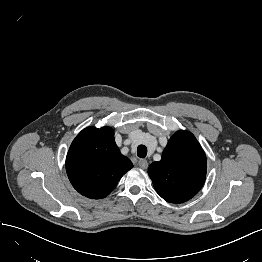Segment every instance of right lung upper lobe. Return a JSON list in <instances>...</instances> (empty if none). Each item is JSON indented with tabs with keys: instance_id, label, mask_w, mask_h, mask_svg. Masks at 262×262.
<instances>
[{
	"instance_id": "1",
	"label": "right lung upper lobe",
	"mask_w": 262,
	"mask_h": 262,
	"mask_svg": "<svg viewBox=\"0 0 262 262\" xmlns=\"http://www.w3.org/2000/svg\"><path fill=\"white\" fill-rule=\"evenodd\" d=\"M110 127H88L73 140L66 157V171L73 187L83 196L100 199L109 195L131 168Z\"/></svg>"
}]
</instances>
